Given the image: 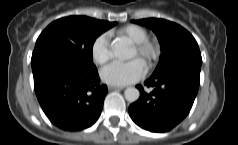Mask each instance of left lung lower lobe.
<instances>
[{
	"mask_svg": "<svg viewBox=\"0 0 238 145\" xmlns=\"http://www.w3.org/2000/svg\"><path fill=\"white\" fill-rule=\"evenodd\" d=\"M200 69L199 65H189L152 75L144 82L153 87L150 93L137 85L140 98L129 107L132 120L151 132L173 129L191 110L199 88Z\"/></svg>",
	"mask_w": 238,
	"mask_h": 145,
	"instance_id": "left-lung-lower-lobe-1",
	"label": "left lung lower lobe"
}]
</instances>
